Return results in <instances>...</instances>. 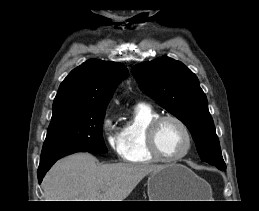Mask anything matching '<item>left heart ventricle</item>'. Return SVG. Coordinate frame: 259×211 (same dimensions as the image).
Wrapping results in <instances>:
<instances>
[{
	"label": "left heart ventricle",
	"instance_id": "obj_1",
	"mask_svg": "<svg viewBox=\"0 0 259 211\" xmlns=\"http://www.w3.org/2000/svg\"><path fill=\"white\" fill-rule=\"evenodd\" d=\"M157 141L161 152L168 157L179 155L187 144L182 128L174 121H165L160 126Z\"/></svg>",
	"mask_w": 259,
	"mask_h": 211
}]
</instances>
